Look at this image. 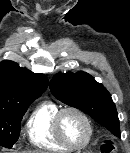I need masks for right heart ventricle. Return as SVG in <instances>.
<instances>
[{"mask_svg": "<svg viewBox=\"0 0 130 153\" xmlns=\"http://www.w3.org/2000/svg\"><path fill=\"white\" fill-rule=\"evenodd\" d=\"M59 109L55 102L45 100L30 113L25 124V135L32 146L48 151H70L54 132L53 121Z\"/></svg>", "mask_w": 130, "mask_h": 153, "instance_id": "1", "label": "right heart ventricle"}]
</instances>
